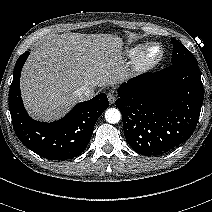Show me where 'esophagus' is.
<instances>
[{
  "instance_id": "34e87169",
  "label": "esophagus",
  "mask_w": 212,
  "mask_h": 212,
  "mask_svg": "<svg viewBox=\"0 0 212 212\" xmlns=\"http://www.w3.org/2000/svg\"><path fill=\"white\" fill-rule=\"evenodd\" d=\"M108 101H109V103L110 104H113L114 102H115V100H116V96H115V94L114 93H108Z\"/></svg>"
}]
</instances>
